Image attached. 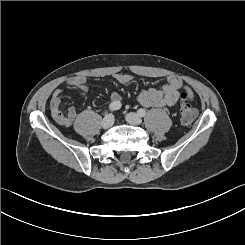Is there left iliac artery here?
Wrapping results in <instances>:
<instances>
[{"label": "left iliac artery", "mask_w": 245, "mask_h": 245, "mask_svg": "<svg viewBox=\"0 0 245 245\" xmlns=\"http://www.w3.org/2000/svg\"><path fill=\"white\" fill-rule=\"evenodd\" d=\"M137 113L140 117H144L146 115V111L143 108L138 109Z\"/></svg>", "instance_id": "1"}]
</instances>
